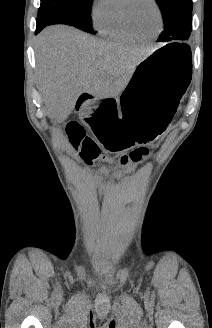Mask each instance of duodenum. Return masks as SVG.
I'll use <instances>...</instances> for the list:
<instances>
[{"label": "duodenum", "mask_w": 212, "mask_h": 328, "mask_svg": "<svg viewBox=\"0 0 212 328\" xmlns=\"http://www.w3.org/2000/svg\"><path fill=\"white\" fill-rule=\"evenodd\" d=\"M91 102V97L87 96L85 98H80L78 100V104L81 107H84L85 105L89 104Z\"/></svg>", "instance_id": "duodenum-1"}]
</instances>
